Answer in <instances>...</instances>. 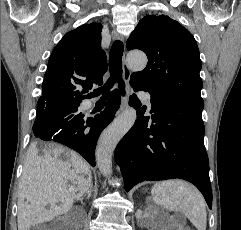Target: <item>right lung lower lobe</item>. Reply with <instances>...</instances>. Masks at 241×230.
<instances>
[{"mask_svg":"<svg viewBox=\"0 0 241 230\" xmlns=\"http://www.w3.org/2000/svg\"><path fill=\"white\" fill-rule=\"evenodd\" d=\"M120 107V94L113 90L105 109L94 117H84L66 129L57 130L50 126L52 118H63L65 108L50 111L44 108L37 110L33 125L34 136L44 141L62 143L80 153L92 166H95V148L103 129L113 120ZM90 129L86 132V129Z\"/></svg>","mask_w":241,"mask_h":230,"instance_id":"obj_1","label":"right lung lower lobe"}]
</instances>
